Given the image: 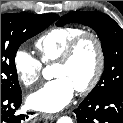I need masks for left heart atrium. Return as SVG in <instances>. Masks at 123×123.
Masks as SVG:
<instances>
[{"label":"left heart atrium","instance_id":"1","mask_svg":"<svg viewBox=\"0 0 123 123\" xmlns=\"http://www.w3.org/2000/svg\"><path fill=\"white\" fill-rule=\"evenodd\" d=\"M75 87L66 77L47 82L27 98L28 105L42 112H57L73 98Z\"/></svg>","mask_w":123,"mask_h":123}]
</instances>
